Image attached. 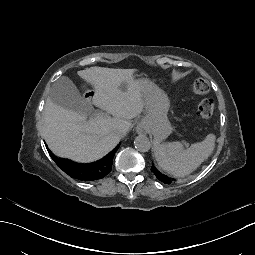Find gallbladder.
<instances>
[{
	"label": "gallbladder",
	"instance_id": "gallbladder-1",
	"mask_svg": "<svg viewBox=\"0 0 255 255\" xmlns=\"http://www.w3.org/2000/svg\"><path fill=\"white\" fill-rule=\"evenodd\" d=\"M49 98L54 104L78 113H87L91 108L89 102L82 97L75 84L64 76L53 83L49 91Z\"/></svg>",
	"mask_w": 255,
	"mask_h": 255
}]
</instances>
